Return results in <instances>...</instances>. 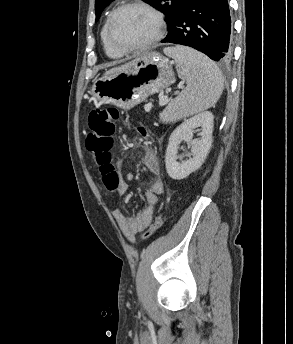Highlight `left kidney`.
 Returning a JSON list of instances; mask_svg holds the SVG:
<instances>
[{"instance_id": "obj_1", "label": "left kidney", "mask_w": 293, "mask_h": 344, "mask_svg": "<svg viewBox=\"0 0 293 344\" xmlns=\"http://www.w3.org/2000/svg\"><path fill=\"white\" fill-rule=\"evenodd\" d=\"M213 119V114L205 111L185 120L172 132L165 156L166 170L172 179H184L204 163L212 144ZM198 127L201 128V138L192 140L193 130ZM182 141L191 143L192 157L178 162L177 153Z\"/></svg>"}]
</instances>
